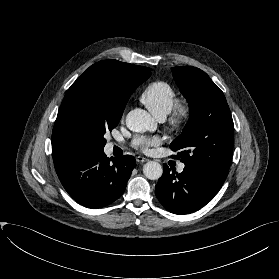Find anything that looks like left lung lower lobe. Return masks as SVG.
Masks as SVG:
<instances>
[{
    "instance_id": "1",
    "label": "left lung lower lobe",
    "mask_w": 279,
    "mask_h": 279,
    "mask_svg": "<svg viewBox=\"0 0 279 279\" xmlns=\"http://www.w3.org/2000/svg\"><path fill=\"white\" fill-rule=\"evenodd\" d=\"M223 181L210 173L185 167L178 174L165 164L155 194L163 207L174 214L192 213L206 205L220 190Z\"/></svg>"
}]
</instances>
